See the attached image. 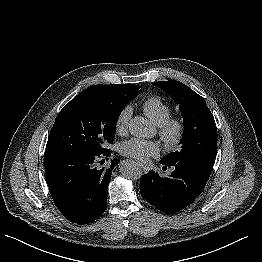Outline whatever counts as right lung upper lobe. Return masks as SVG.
<instances>
[{
  "mask_svg": "<svg viewBox=\"0 0 262 262\" xmlns=\"http://www.w3.org/2000/svg\"><path fill=\"white\" fill-rule=\"evenodd\" d=\"M134 85L132 84H121V85H95L92 86L91 88L98 89L102 92H105L107 94H112V95H119L121 93H125L129 91Z\"/></svg>",
  "mask_w": 262,
  "mask_h": 262,
  "instance_id": "1",
  "label": "right lung upper lobe"
}]
</instances>
